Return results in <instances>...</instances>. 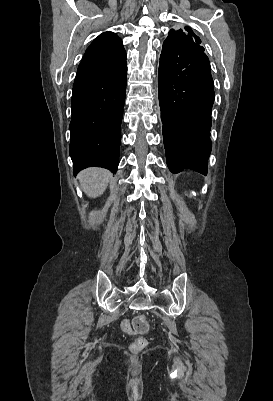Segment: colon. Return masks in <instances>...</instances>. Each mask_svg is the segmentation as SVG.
<instances>
[{"label": "colon", "instance_id": "colon-1", "mask_svg": "<svg viewBox=\"0 0 273 401\" xmlns=\"http://www.w3.org/2000/svg\"><path fill=\"white\" fill-rule=\"evenodd\" d=\"M140 319H136L134 322V328L138 333H145L147 330V324L144 322L145 315L140 314ZM149 344L148 337H136L134 340H128L127 350L125 355L127 358H138L140 353H145Z\"/></svg>", "mask_w": 273, "mask_h": 401}]
</instances>
